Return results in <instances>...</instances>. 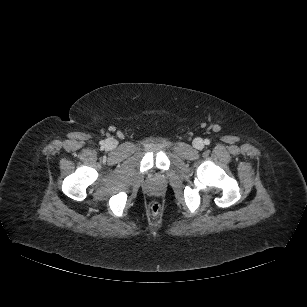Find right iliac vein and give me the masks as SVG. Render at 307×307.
Returning a JSON list of instances; mask_svg holds the SVG:
<instances>
[{"instance_id":"1","label":"right iliac vein","mask_w":307,"mask_h":307,"mask_svg":"<svg viewBox=\"0 0 307 307\" xmlns=\"http://www.w3.org/2000/svg\"><path fill=\"white\" fill-rule=\"evenodd\" d=\"M106 145H107L108 148L113 149V148H115L117 146V141L115 139H113V138L108 139L106 141Z\"/></svg>"}]
</instances>
